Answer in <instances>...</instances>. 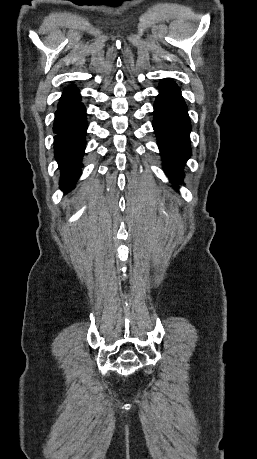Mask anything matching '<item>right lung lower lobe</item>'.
I'll return each mask as SVG.
<instances>
[{
  "label": "right lung lower lobe",
  "mask_w": 257,
  "mask_h": 459,
  "mask_svg": "<svg viewBox=\"0 0 257 459\" xmlns=\"http://www.w3.org/2000/svg\"><path fill=\"white\" fill-rule=\"evenodd\" d=\"M87 130L86 110L76 87L65 89L55 112V157L61 169V188L69 191L81 173Z\"/></svg>",
  "instance_id": "98d812e1"
}]
</instances>
